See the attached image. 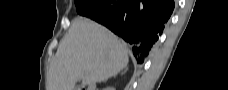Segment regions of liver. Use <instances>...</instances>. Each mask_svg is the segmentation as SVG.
Masks as SVG:
<instances>
[{
    "label": "liver",
    "instance_id": "6515ba94",
    "mask_svg": "<svg viewBox=\"0 0 228 90\" xmlns=\"http://www.w3.org/2000/svg\"><path fill=\"white\" fill-rule=\"evenodd\" d=\"M126 47L109 30L78 17L59 44L47 90H74L78 81L92 85L117 75L128 65Z\"/></svg>",
    "mask_w": 228,
    "mask_h": 90
}]
</instances>
